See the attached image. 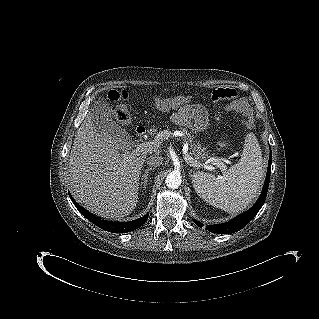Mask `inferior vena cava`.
Segmentation results:
<instances>
[{"instance_id":"602c4592","label":"inferior vena cava","mask_w":319,"mask_h":319,"mask_svg":"<svg viewBox=\"0 0 319 319\" xmlns=\"http://www.w3.org/2000/svg\"><path fill=\"white\" fill-rule=\"evenodd\" d=\"M148 166L156 168L159 167L163 163V157L160 155H152L149 156L146 160Z\"/></svg>"}]
</instances>
